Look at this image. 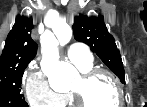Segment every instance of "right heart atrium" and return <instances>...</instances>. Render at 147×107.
Instances as JSON below:
<instances>
[{"mask_svg":"<svg viewBox=\"0 0 147 107\" xmlns=\"http://www.w3.org/2000/svg\"><path fill=\"white\" fill-rule=\"evenodd\" d=\"M23 88L28 103L35 107H58L66 95L55 92L41 68L34 64L24 75Z\"/></svg>","mask_w":147,"mask_h":107,"instance_id":"right-heart-atrium-1","label":"right heart atrium"}]
</instances>
